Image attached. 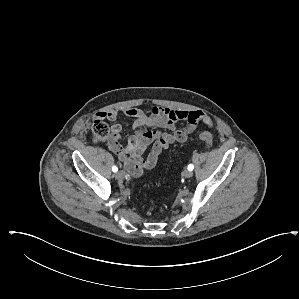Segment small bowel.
<instances>
[{"instance_id":"c3829d8e","label":"small bowel","mask_w":299,"mask_h":299,"mask_svg":"<svg viewBox=\"0 0 299 299\" xmlns=\"http://www.w3.org/2000/svg\"><path fill=\"white\" fill-rule=\"evenodd\" d=\"M123 115L132 120L135 133L130 136L126 145H122V126L119 123L113 124L109 148L122 161L127 172L135 177L141 176L145 170L152 169L161 152L170 145L186 142L199 122L208 127L213 126L210 116L200 110L185 111L154 106L149 113L138 108H128L123 111ZM98 116L116 121L119 112L102 111ZM179 122H184L185 125L177 129ZM149 144H152L151 151L147 158H143L142 154Z\"/></svg>"}]
</instances>
